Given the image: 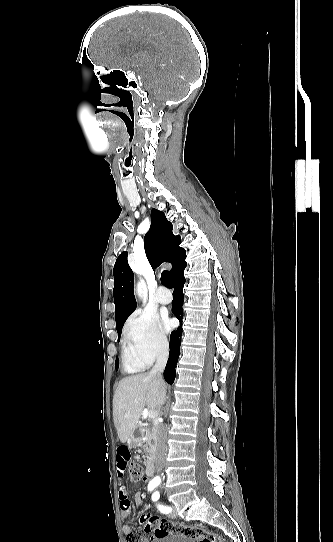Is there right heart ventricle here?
Returning <instances> with one entry per match:
<instances>
[{"instance_id": "obj_1", "label": "right heart ventricle", "mask_w": 333, "mask_h": 542, "mask_svg": "<svg viewBox=\"0 0 333 542\" xmlns=\"http://www.w3.org/2000/svg\"><path fill=\"white\" fill-rule=\"evenodd\" d=\"M122 361L127 371L139 372L151 365L152 358L139 347L124 342L122 346Z\"/></svg>"}]
</instances>
